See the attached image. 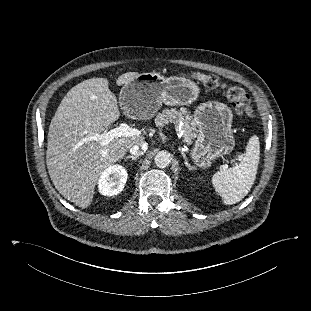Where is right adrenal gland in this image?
<instances>
[{
    "mask_svg": "<svg viewBox=\"0 0 311 311\" xmlns=\"http://www.w3.org/2000/svg\"><path fill=\"white\" fill-rule=\"evenodd\" d=\"M124 159H125V161H126L127 159H131V160H133V161H136V160L139 159V156L129 155V156H126Z\"/></svg>",
    "mask_w": 311,
    "mask_h": 311,
    "instance_id": "right-adrenal-gland-1",
    "label": "right adrenal gland"
}]
</instances>
